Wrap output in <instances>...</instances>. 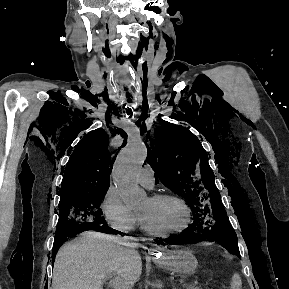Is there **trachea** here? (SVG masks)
Segmentation results:
<instances>
[{
    "label": "trachea",
    "mask_w": 289,
    "mask_h": 289,
    "mask_svg": "<svg viewBox=\"0 0 289 289\" xmlns=\"http://www.w3.org/2000/svg\"><path fill=\"white\" fill-rule=\"evenodd\" d=\"M131 113V109H128L127 110V114L129 115Z\"/></svg>",
    "instance_id": "3493384b"
}]
</instances>
